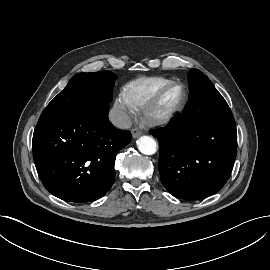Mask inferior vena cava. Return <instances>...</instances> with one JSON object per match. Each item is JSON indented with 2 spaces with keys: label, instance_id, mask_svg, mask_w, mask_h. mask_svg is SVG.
I'll list each match as a JSON object with an SVG mask.
<instances>
[{
  "label": "inferior vena cava",
  "instance_id": "1",
  "mask_svg": "<svg viewBox=\"0 0 270 270\" xmlns=\"http://www.w3.org/2000/svg\"><path fill=\"white\" fill-rule=\"evenodd\" d=\"M109 119L115 127L120 129H128L132 124L130 117L124 111L118 109L110 111Z\"/></svg>",
  "mask_w": 270,
  "mask_h": 270
}]
</instances>
